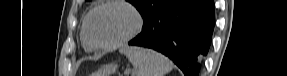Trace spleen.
Here are the masks:
<instances>
[{
    "label": "spleen",
    "mask_w": 287,
    "mask_h": 76,
    "mask_svg": "<svg viewBox=\"0 0 287 76\" xmlns=\"http://www.w3.org/2000/svg\"><path fill=\"white\" fill-rule=\"evenodd\" d=\"M120 52L138 69L137 76H164L173 68L168 58L151 49L125 46Z\"/></svg>",
    "instance_id": "obj_1"
}]
</instances>
